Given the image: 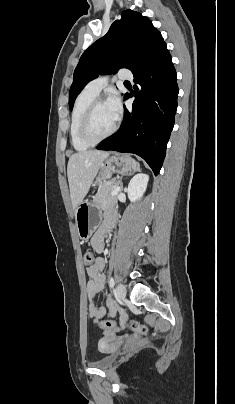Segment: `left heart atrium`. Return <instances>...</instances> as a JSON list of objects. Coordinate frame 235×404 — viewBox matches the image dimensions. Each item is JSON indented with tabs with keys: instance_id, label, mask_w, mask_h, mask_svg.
<instances>
[{
	"instance_id": "39dd6f15",
	"label": "left heart atrium",
	"mask_w": 235,
	"mask_h": 404,
	"mask_svg": "<svg viewBox=\"0 0 235 404\" xmlns=\"http://www.w3.org/2000/svg\"><path fill=\"white\" fill-rule=\"evenodd\" d=\"M105 104L109 109V111L111 112V114L114 116V118L118 119L122 111V105L119 97L116 94H112L106 100Z\"/></svg>"
}]
</instances>
